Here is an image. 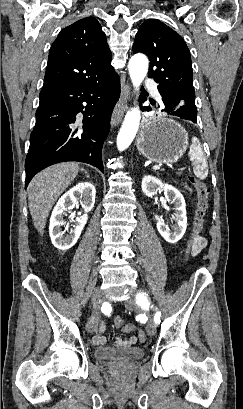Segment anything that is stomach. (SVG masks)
<instances>
[{
    "label": "stomach",
    "mask_w": 243,
    "mask_h": 409,
    "mask_svg": "<svg viewBox=\"0 0 243 409\" xmlns=\"http://www.w3.org/2000/svg\"><path fill=\"white\" fill-rule=\"evenodd\" d=\"M136 145L141 154L156 163H175L188 147V133L173 119L163 115L148 119Z\"/></svg>",
    "instance_id": "stomach-1"
}]
</instances>
